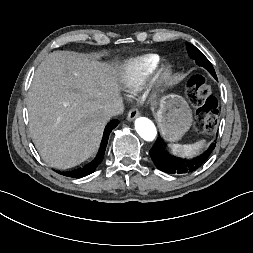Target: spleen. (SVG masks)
<instances>
[{"instance_id":"spleen-1","label":"spleen","mask_w":253,"mask_h":253,"mask_svg":"<svg viewBox=\"0 0 253 253\" xmlns=\"http://www.w3.org/2000/svg\"><path fill=\"white\" fill-rule=\"evenodd\" d=\"M205 144V140H200L194 144H173L171 145L172 151L174 153H181L186 156L194 155L198 150H200Z\"/></svg>"}]
</instances>
